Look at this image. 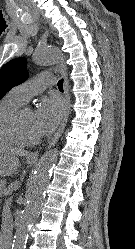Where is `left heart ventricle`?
Wrapping results in <instances>:
<instances>
[{"label": "left heart ventricle", "instance_id": "b2bd125f", "mask_svg": "<svg viewBox=\"0 0 135 249\" xmlns=\"http://www.w3.org/2000/svg\"><path fill=\"white\" fill-rule=\"evenodd\" d=\"M20 129L27 138H37L39 133L35 125V113L31 109L25 110L19 120Z\"/></svg>", "mask_w": 135, "mask_h": 249}]
</instances>
